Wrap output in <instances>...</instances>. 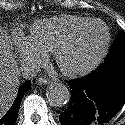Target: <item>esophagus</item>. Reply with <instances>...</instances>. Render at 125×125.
Masks as SVG:
<instances>
[{"label": "esophagus", "mask_w": 125, "mask_h": 125, "mask_svg": "<svg viewBox=\"0 0 125 125\" xmlns=\"http://www.w3.org/2000/svg\"><path fill=\"white\" fill-rule=\"evenodd\" d=\"M37 83L40 85H42V84L46 85V84H49V80L46 78H38Z\"/></svg>", "instance_id": "esophagus-1"}]
</instances>
